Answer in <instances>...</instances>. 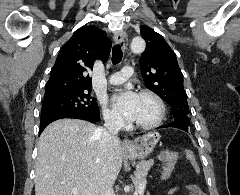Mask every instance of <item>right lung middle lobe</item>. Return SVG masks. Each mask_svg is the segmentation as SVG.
<instances>
[{"mask_svg":"<svg viewBox=\"0 0 240 195\" xmlns=\"http://www.w3.org/2000/svg\"><path fill=\"white\" fill-rule=\"evenodd\" d=\"M79 112L99 113L95 99L90 96V90L75 89L44 95L41 119Z\"/></svg>","mask_w":240,"mask_h":195,"instance_id":"1","label":"right lung middle lobe"}]
</instances>
